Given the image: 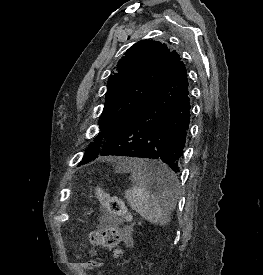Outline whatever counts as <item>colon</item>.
Here are the masks:
<instances>
[{"label":"colon","instance_id":"1","mask_svg":"<svg viewBox=\"0 0 263 275\" xmlns=\"http://www.w3.org/2000/svg\"><path fill=\"white\" fill-rule=\"evenodd\" d=\"M94 193L101 207L112 219L117 221L132 220V215L128 212L122 199L111 195L100 186L95 187ZM90 240L93 244L113 251L117 256L121 253V249L119 248L120 236L118 231L112 226H104L95 230L91 233ZM101 265L102 262L99 259H91L82 263L85 269H94Z\"/></svg>","mask_w":263,"mask_h":275}]
</instances>
